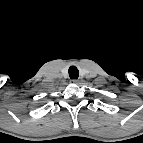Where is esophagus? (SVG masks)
I'll use <instances>...</instances> for the list:
<instances>
[{
    "instance_id": "esophagus-1",
    "label": "esophagus",
    "mask_w": 143,
    "mask_h": 143,
    "mask_svg": "<svg viewBox=\"0 0 143 143\" xmlns=\"http://www.w3.org/2000/svg\"><path fill=\"white\" fill-rule=\"evenodd\" d=\"M83 81L82 78H78V79H73L72 82L75 84H80Z\"/></svg>"
}]
</instances>
